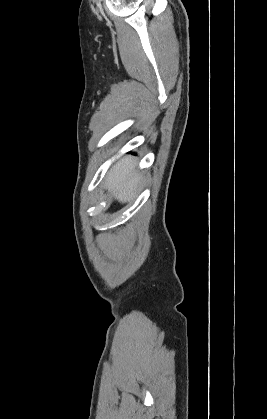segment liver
I'll list each match as a JSON object with an SVG mask.
<instances>
[{
    "mask_svg": "<svg viewBox=\"0 0 267 419\" xmlns=\"http://www.w3.org/2000/svg\"><path fill=\"white\" fill-rule=\"evenodd\" d=\"M135 166L134 158L126 156L108 172L106 188L119 202L125 203L136 194L141 177L137 174Z\"/></svg>",
    "mask_w": 267,
    "mask_h": 419,
    "instance_id": "obj_1",
    "label": "liver"
}]
</instances>
